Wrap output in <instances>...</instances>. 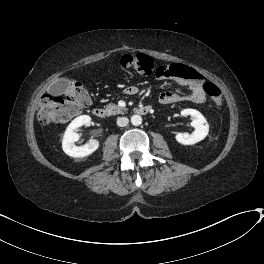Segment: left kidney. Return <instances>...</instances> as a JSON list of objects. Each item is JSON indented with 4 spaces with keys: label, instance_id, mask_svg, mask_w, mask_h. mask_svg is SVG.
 <instances>
[{
    "label": "left kidney",
    "instance_id": "left-kidney-1",
    "mask_svg": "<svg viewBox=\"0 0 264 264\" xmlns=\"http://www.w3.org/2000/svg\"><path fill=\"white\" fill-rule=\"evenodd\" d=\"M182 116H191V126L194 127V131L191 134L178 133L175 138L176 140L184 145H193L203 140L209 132V125L205 117L195 109H183L181 111Z\"/></svg>",
    "mask_w": 264,
    "mask_h": 264
}]
</instances>
